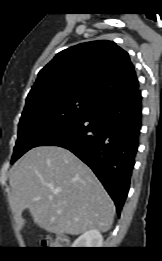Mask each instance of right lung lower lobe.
<instances>
[{
	"instance_id": "obj_1",
	"label": "right lung lower lobe",
	"mask_w": 162,
	"mask_h": 261,
	"mask_svg": "<svg viewBox=\"0 0 162 261\" xmlns=\"http://www.w3.org/2000/svg\"><path fill=\"white\" fill-rule=\"evenodd\" d=\"M141 114L139 88L121 92L52 130L35 147L60 146L73 152L102 182L120 215L135 164Z\"/></svg>"
}]
</instances>
